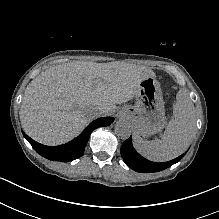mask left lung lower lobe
<instances>
[{
    "instance_id": "0a47b994",
    "label": "left lung lower lobe",
    "mask_w": 219,
    "mask_h": 219,
    "mask_svg": "<svg viewBox=\"0 0 219 219\" xmlns=\"http://www.w3.org/2000/svg\"><path fill=\"white\" fill-rule=\"evenodd\" d=\"M121 155L125 163L133 170L140 173H154L164 170L177 163L185 154L170 160L169 162L157 163L143 158L133 148L131 138H128L121 146Z\"/></svg>"
}]
</instances>
